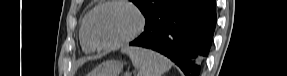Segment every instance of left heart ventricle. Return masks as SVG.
<instances>
[{
	"instance_id": "1",
	"label": "left heart ventricle",
	"mask_w": 287,
	"mask_h": 76,
	"mask_svg": "<svg viewBox=\"0 0 287 76\" xmlns=\"http://www.w3.org/2000/svg\"><path fill=\"white\" fill-rule=\"evenodd\" d=\"M136 24L137 18L128 7L110 5L99 9L93 15L91 34L99 43H113L128 35Z\"/></svg>"
}]
</instances>
